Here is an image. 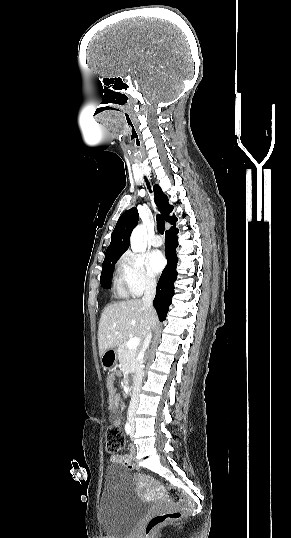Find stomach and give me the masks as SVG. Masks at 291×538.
Returning <instances> with one entry per match:
<instances>
[{"instance_id": "stomach-1", "label": "stomach", "mask_w": 291, "mask_h": 538, "mask_svg": "<svg viewBox=\"0 0 291 538\" xmlns=\"http://www.w3.org/2000/svg\"><path fill=\"white\" fill-rule=\"evenodd\" d=\"M117 361V352L116 349H108L101 356V364L104 368L110 369L115 365Z\"/></svg>"}]
</instances>
